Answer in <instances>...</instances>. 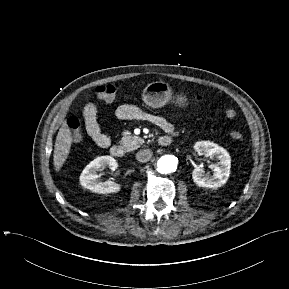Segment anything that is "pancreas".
<instances>
[{
  "label": "pancreas",
  "instance_id": "cf45deb5",
  "mask_svg": "<svg viewBox=\"0 0 289 289\" xmlns=\"http://www.w3.org/2000/svg\"><path fill=\"white\" fill-rule=\"evenodd\" d=\"M122 139L120 141V144L127 150V151H133L140 147L144 143V140L141 137L133 136L131 135V132L128 130H125L122 133Z\"/></svg>",
  "mask_w": 289,
  "mask_h": 289
}]
</instances>
